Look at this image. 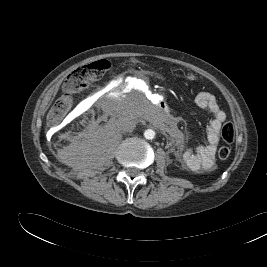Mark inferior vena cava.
Returning a JSON list of instances; mask_svg holds the SVG:
<instances>
[{
    "label": "inferior vena cava",
    "instance_id": "inferior-vena-cava-1",
    "mask_svg": "<svg viewBox=\"0 0 267 267\" xmlns=\"http://www.w3.org/2000/svg\"><path fill=\"white\" fill-rule=\"evenodd\" d=\"M136 123V119L131 116H121L116 120V126L121 132H132Z\"/></svg>",
    "mask_w": 267,
    "mask_h": 267
}]
</instances>
